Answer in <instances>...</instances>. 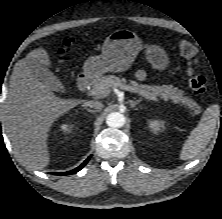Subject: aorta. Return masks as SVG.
<instances>
[{"mask_svg":"<svg viewBox=\"0 0 222 219\" xmlns=\"http://www.w3.org/2000/svg\"><path fill=\"white\" fill-rule=\"evenodd\" d=\"M106 123L109 127L120 128L125 124V117L119 112H112L107 116Z\"/></svg>","mask_w":222,"mask_h":219,"instance_id":"1","label":"aorta"}]
</instances>
